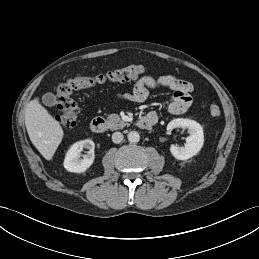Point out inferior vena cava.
<instances>
[{
    "instance_id": "1",
    "label": "inferior vena cava",
    "mask_w": 259,
    "mask_h": 259,
    "mask_svg": "<svg viewBox=\"0 0 259 259\" xmlns=\"http://www.w3.org/2000/svg\"><path fill=\"white\" fill-rule=\"evenodd\" d=\"M124 136L121 132H114L112 134V141L116 144L120 143L123 140Z\"/></svg>"
}]
</instances>
